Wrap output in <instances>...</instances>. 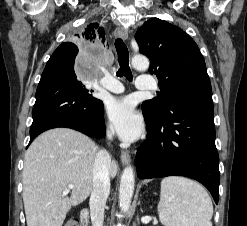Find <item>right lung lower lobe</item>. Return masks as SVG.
Masks as SVG:
<instances>
[{"mask_svg":"<svg viewBox=\"0 0 247 226\" xmlns=\"http://www.w3.org/2000/svg\"><path fill=\"white\" fill-rule=\"evenodd\" d=\"M103 109V102L77 80L74 61L63 53H53L36 91L29 144L40 133L57 127L100 138L105 134Z\"/></svg>","mask_w":247,"mask_h":226,"instance_id":"98d812e1","label":"right lung lower lobe"}]
</instances>
